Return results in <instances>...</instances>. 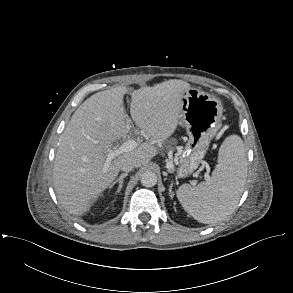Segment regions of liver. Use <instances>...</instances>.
<instances>
[{
    "instance_id": "6515ba94",
    "label": "liver",
    "mask_w": 293,
    "mask_h": 293,
    "mask_svg": "<svg viewBox=\"0 0 293 293\" xmlns=\"http://www.w3.org/2000/svg\"><path fill=\"white\" fill-rule=\"evenodd\" d=\"M189 88V83L175 79L135 90L130 113L145 142L117 156L106 171V149L130 130L123 106L127 88H111L86 99L59 139L53 184L61 206L82 216L115 180L124 160L131 159L136 168L147 164L156 155L155 144L175 132L182 116V93Z\"/></svg>"
}]
</instances>
